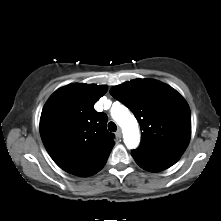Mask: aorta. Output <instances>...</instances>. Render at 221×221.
Wrapping results in <instances>:
<instances>
[{
    "instance_id": "obj_1",
    "label": "aorta",
    "mask_w": 221,
    "mask_h": 221,
    "mask_svg": "<svg viewBox=\"0 0 221 221\" xmlns=\"http://www.w3.org/2000/svg\"><path fill=\"white\" fill-rule=\"evenodd\" d=\"M113 119L122 128L124 142L129 149H135L140 142L138 123L135 117L123 105H117L111 111Z\"/></svg>"
}]
</instances>
